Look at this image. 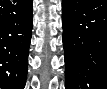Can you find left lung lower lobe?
<instances>
[{"label": "left lung lower lobe", "mask_w": 107, "mask_h": 89, "mask_svg": "<svg viewBox=\"0 0 107 89\" xmlns=\"http://www.w3.org/2000/svg\"><path fill=\"white\" fill-rule=\"evenodd\" d=\"M66 89L107 87V0H62Z\"/></svg>", "instance_id": "0a47b994"}]
</instances>
